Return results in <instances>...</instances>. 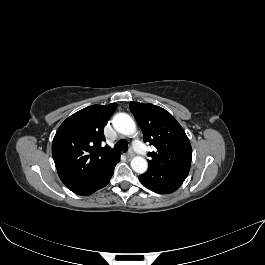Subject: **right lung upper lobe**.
<instances>
[{"mask_svg":"<svg viewBox=\"0 0 265 265\" xmlns=\"http://www.w3.org/2000/svg\"><path fill=\"white\" fill-rule=\"evenodd\" d=\"M116 103L92 105L68 117L58 128L52 156L62 182L69 189L85 182L120 157L105 141L104 127Z\"/></svg>","mask_w":265,"mask_h":265,"instance_id":"obj_1","label":"right lung upper lobe"}]
</instances>
